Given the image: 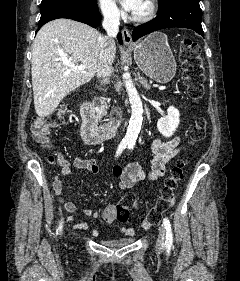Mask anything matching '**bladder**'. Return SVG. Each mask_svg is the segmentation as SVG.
Returning <instances> with one entry per match:
<instances>
[{
    "instance_id": "bladder-1",
    "label": "bladder",
    "mask_w": 240,
    "mask_h": 281,
    "mask_svg": "<svg viewBox=\"0 0 240 281\" xmlns=\"http://www.w3.org/2000/svg\"><path fill=\"white\" fill-rule=\"evenodd\" d=\"M135 238L133 236H126L118 239H111L103 241L102 244L111 248H122L131 245Z\"/></svg>"
}]
</instances>
